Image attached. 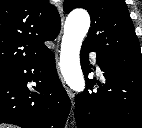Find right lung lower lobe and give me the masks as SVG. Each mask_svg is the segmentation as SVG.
<instances>
[{
	"mask_svg": "<svg viewBox=\"0 0 142 128\" xmlns=\"http://www.w3.org/2000/svg\"><path fill=\"white\" fill-rule=\"evenodd\" d=\"M31 81L36 83L33 89L27 86ZM69 112L70 101L50 49L0 79V123L63 128Z\"/></svg>",
	"mask_w": 142,
	"mask_h": 128,
	"instance_id": "98d812e1",
	"label": "right lung lower lobe"
}]
</instances>
